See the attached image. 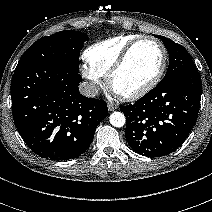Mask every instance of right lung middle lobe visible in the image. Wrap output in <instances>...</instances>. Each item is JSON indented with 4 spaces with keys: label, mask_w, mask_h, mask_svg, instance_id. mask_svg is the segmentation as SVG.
<instances>
[{
    "label": "right lung middle lobe",
    "mask_w": 212,
    "mask_h": 212,
    "mask_svg": "<svg viewBox=\"0 0 212 212\" xmlns=\"http://www.w3.org/2000/svg\"><path fill=\"white\" fill-rule=\"evenodd\" d=\"M88 36L66 30L37 40L22 56L14 72L26 67L54 63L79 71V54Z\"/></svg>",
    "instance_id": "right-lung-middle-lobe-1"
}]
</instances>
